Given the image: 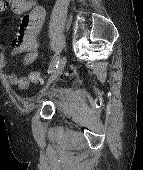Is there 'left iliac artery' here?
Returning <instances> with one entry per match:
<instances>
[{"label":"left iliac artery","instance_id":"1","mask_svg":"<svg viewBox=\"0 0 143 170\" xmlns=\"http://www.w3.org/2000/svg\"><path fill=\"white\" fill-rule=\"evenodd\" d=\"M58 62H59V55L55 54V56L53 57L52 62L50 64L48 73L52 72L55 68H57Z\"/></svg>","mask_w":143,"mask_h":170}]
</instances>
